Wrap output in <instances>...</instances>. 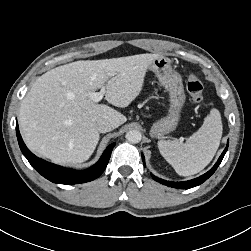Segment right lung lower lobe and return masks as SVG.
<instances>
[{"mask_svg": "<svg viewBox=\"0 0 251 251\" xmlns=\"http://www.w3.org/2000/svg\"><path fill=\"white\" fill-rule=\"evenodd\" d=\"M16 135L20 149L23 155L29 161V163L43 177L50 180L51 182L58 184H79L92 181L98 178L105 170L109 162L112 149L115 146V143L110 144L103 152L98 162L95 163L93 166L85 170H74L52 164L50 162H47L45 160L36 157L24 144L17 123H16Z\"/></svg>", "mask_w": 251, "mask_h": 251, "instance_id": "1", "label": "right lung lower lobe"}]
</instances>
